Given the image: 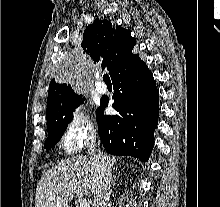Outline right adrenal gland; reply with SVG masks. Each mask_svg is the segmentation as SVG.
Segmentation results:
<instances>
[{
    "label": "right adrenal gland",
    "mask_w": 220,
    "mask_h": 207,
    "mask_svg": "<svg viewBox=\"0 0 220 207\" xmlns=\"http://www.w3.org/2000/svg\"><path fill=\"white\" fill-rule=\"evenodd\" d=\"M116 180H117L116 175H113V180H112V183H113L114 185L116 184Z\"/></svg>",
    "instance_id": "2a0ac1e0"
}]
</instances>
